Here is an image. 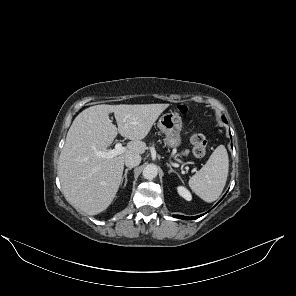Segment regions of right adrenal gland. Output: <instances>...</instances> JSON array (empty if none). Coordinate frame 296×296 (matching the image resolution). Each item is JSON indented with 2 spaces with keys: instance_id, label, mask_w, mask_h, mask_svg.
Returning a JSON list of instances; mask_svg holds the SVG:
<instances>
[{
  "instance_id": "obj_1",
  "label": "right adrenal gland",
  "mask_w": 296,
  "mask_h": 296,
  "mask_svg": "<svg viewBox=\"0 0 296 296\" xmlns=\"http://www.w3.org/2000/svg\"><path fill=\"white\" fill-rule=\"evenodd\" d=\"M129 170H131V168H127V169H125V173H124V176H123V178H122V182H121V184H122L123 181H124L123 188H124V187L126 186V184H127V173H128Z\"/></svg>"
}]
</instances>
